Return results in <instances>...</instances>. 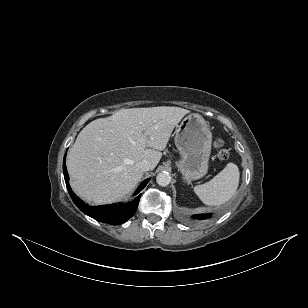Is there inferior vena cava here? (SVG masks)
Instances as JSON below:
<instances>
[{"instance_id": "inferior-vena-cava-1", "label": "inferior vena cava", "mask_w": 308, "mask_h": 308, "mask_svg": "<svg viewBox=\"0 0 308 308\" xmlns=\"http://www.w3.org/2000/svg\"><path fill=\"white\" fill-rule=\"evenodd\" d=\"M136 167L142 172L149 171L152 168L151 163L147 159H143L142 161L138 162Z\"/></svg>"}]
</instances>
